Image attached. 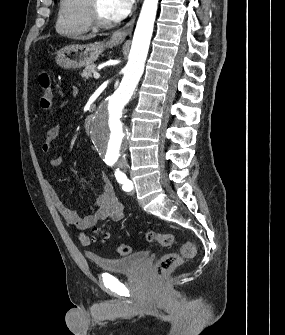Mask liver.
Here are the masks:
<instances>
[{
  "instance_id": "6515ba94",
  "label": "liver",
  "mask_w": 285,
  "mask_h": 335,
  "mask_svg": "<svg viewBox=\"0 0 285 335\" xmlns=\"http://www.w3.org/2000/svg\"><path fill=\"white\" fill-rule=\"evenodd\" d=\"M91 38H95V36H92V34L90 36H76L75 40H91Z\"/></svg>"
}]
</instances>
